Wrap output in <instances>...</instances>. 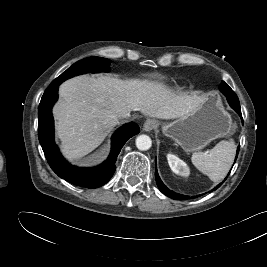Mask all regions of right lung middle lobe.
<instances>
[{
  "label": "right lung middle lobe",
  "instance_id": "obj_1",
  "mask_svg": "<svg viewBox=\"0 0 267 267\" xmlns=\"http://www.w3.org/2000/svg\"><path fill=\"white\" fill-rule=\"evenodd\" d=\"M110 61L106 58L101 57H89L83 60H80L74 63L70 68H68L65 72H63L59 77H57L47 89L54 86L55 83H62L68 78L73 76L84 74L87 72L97 73V72H107L109 71Z\"/></svg>",
  "mask_w": 267,
  "mask_h": 267
}]
</instances>
